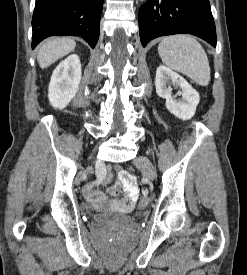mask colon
<instances>
[{"label": "colon", "instance_id": "obj_1", "mask_svg": "<svg viewBox=\"0 0 247 275\" xmlns=\"http://www.w3.org/2000/svg\"><path fill=\"white\" fill-rule=\"evenodd\" d=\"M149 201H150L149 191H148V189H143L141 192L140 200H139V206L141 208H144L145 206H147Z\"/></svg>", "mask_w": 247, "mask_h": 275}]
</instances>
